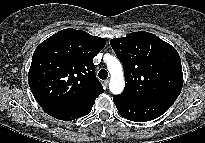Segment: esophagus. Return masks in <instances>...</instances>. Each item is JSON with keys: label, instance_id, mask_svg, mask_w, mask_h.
I'll use <instances>...</instances> for the list:
<instances>
[{"label": "esophagus", "instance_id": "obj_1", "mask_svg": "<svg viewBox=\"0 0 205 143\" xmlns=\"http://www.w3.org/2000/svg\"><path fill=\"white\" fill-rule=\"evenodd\" d=\"M104 85L107 87L108 86V84H109V80L107 79V80H104Z\"/></svg>", "mask_w": 205, "mask_h": 143}]
</instances>
